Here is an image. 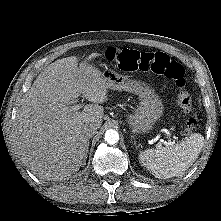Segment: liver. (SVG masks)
<instances>
[{
	"label": "liver",
	"instance_id": "1",
	"mask_svg": "<svg viewBox=\"0 0 221 221\" xmlns=\"http://www.w3.org/2000/svg\"><path fill=\"white\" fill-rule=\"evenodd\" d=\"M78 58L58 59L34 80L17 115L12 147L39 179L63 180L77 172L87 158L90 123L101 126L108 87L101 71ZM92 104L73 111L79 96Z\"/></svg>",
	"mask_w": 221,
	"mask_h": 221
}]
</instances>
